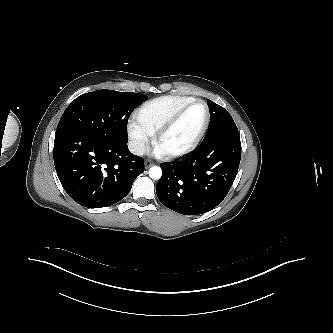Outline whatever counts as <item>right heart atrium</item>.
Listing matches in <instances>:
<instances>
[{
  "label": "right heart atrium",
  "mask_w": 333,
  "mask_h": 333,
  "mask_svg": "<svg viewBox=\"0 0 333 333\" xmlns=\"http://www.w3.org/2000/svg\"><path fill=\"white\" fill-rule=\"evenodd\" d=\"M127 132L132 151L138 155L143 154L148 146L151 135L136 119L128 121Z\"/></svg>",
  "instance_id": "obj_1"
}]
</instances>
